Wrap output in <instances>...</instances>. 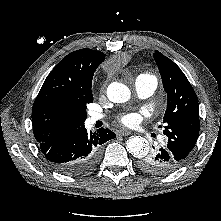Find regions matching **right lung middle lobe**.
Instances as JSON below:
<instances>
[{"label": "right lung middle lobe", "mask_w": 221, "mask_h": 221, "mask_svg": "<svg viewBox=\"0 0 221 221\" xmlns=\"http://www.w3.org/2000/svg\"><path fill=\"white\" fill-rule=\"evenodd\" d=\"M93 102V96L92 93L90 94V97H88L85 101L82 103V114L84 116V119H86V109H87V104Z\"/></svg>", "instance_id": "obj_1"}]
</instances>
